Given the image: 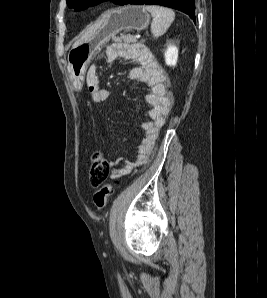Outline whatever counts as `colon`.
I'll return each instance as SVG.
<instances>
[{
	"instance_id": "1",
	"label": "colon",
	"mask_w": 267,
	"mask_h": 298,
	"mask_svg": "<svg viewBox=\"0 0 267 298\" xmlns=\"http://www.w3.org/2000/svg\"><path fill=\"white\" fill-rule=\"evenodd\" d=\"M110 164L102 150L93 153L90 165V182L98 190L94 193L93 202L98 210H102L107 205L113 193V184H104L109 174Z\"/></svg>"
}]
</instances>
